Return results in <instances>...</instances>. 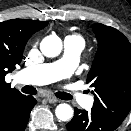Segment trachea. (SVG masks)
<instances>
[{
    "mask_svg": "<svg viewBox=\"0 0 131 131\" xmlns=\"http://www.w3.org/2000/svg\"><path fill=\"white\" fill-rule=\"evenodd\" d=\"M22 92L26 94L35 95L37 93V90L32 86L26 85L22 88ZM55 95L56 97L62 100H71L72 99V96L65 92H56Z\"/></svg>",
    "mask_w": 131,
    "mask_h": 131,
    "instance_id": "3493384b",
    "label": "trachea"
}]
</instances>
